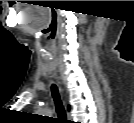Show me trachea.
<instances>
[{"instance_id": "3493384b", "label": "trachea", "mask_w": 134, "mask_h": 123, "mask_svg": "<svg viewBox=\"0 0 134 123\" xmlns=\"http://www.w3.org/2000/svg\"><path fill=\"white\" fill-rule=\"evenodd\" d=\"M51 92L55 103L56 112L58 114L59 120H65L66 119V113L62 104V101L60 99V95L58 92V89L56 85L51 86Z\"/></svg>"}]
</instances>
